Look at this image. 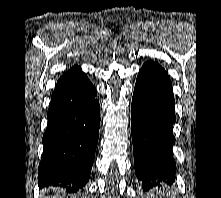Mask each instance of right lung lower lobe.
<instances>
[{
  "mask_svg": "<svg viewBox=\"0 0 221 198\" xmlns=\"http://www.w3.org/2000/svg\"><path fill=\"white\" fill-rule=\"evenodd\" d=\"M96 89L81 72L56 85L43 135L38 185L65 187L77 192L88 181L100 127Z\"/></svg>",
  "mask_w": 221,
  "mask_h": 198,
  "instance_id": "98d812e1",
  "label": "right lung lower lobe"
}]
</instances>
